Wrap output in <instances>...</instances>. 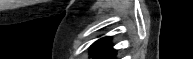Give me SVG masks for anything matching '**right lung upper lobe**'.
<instances>
[{"label": "right lung upper lobe", "mask_w": 193, "mask_h": 59, "mask_svg": "<svg viewBox=\"0 0 193 59\" xmlns=\"http://www.w3.org/2000/svg\"><path fill=\"white\" fill-rule=\"evenodd\" d=\"M91 54L93 59H114L115 51L109 44V38H103L92 45Z\"/></svg>", "instance_id": "cb5924a9"}]
</instances>
